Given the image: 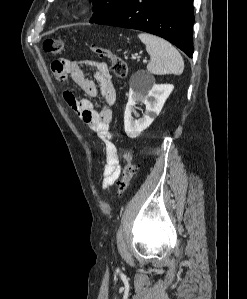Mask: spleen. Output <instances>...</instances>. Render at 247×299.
Returning a JSON list of instances; mask_svg holds the SVG:
<instances>
[{"label": "spleen", "mask_w": 247, "mask_h": 299, "mask_svg": "<svg viewBox=\"0 0 247 299\" xmlns=\"http://www.w3.org/2000/svg\"><path fill=\"white\" fill-rule=\"evenodd\" d=\"M139 39L145 44L150 55L147 70L155 75H180L184 70V61L178 50L168 41L148 33H140Z\"/></svg>", "instance_id": "obj_1"}]
</instances>
